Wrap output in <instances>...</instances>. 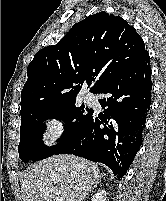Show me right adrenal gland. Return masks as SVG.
Instances as JSON below:
<instances>
[{"label": "right adrenal gland", "mask_w": 166, "mask_h": 201, "mask_svg": "<svg viewBox=\"0 0 166 201\" xmlns=\"http://www.w3.org/2000/svg\"><path fill=\"white\" fill-rule=\"evenodd\" d=\"M103 177V174H101L100 178ZM100 178L95 182V184L92 186V188L88 191V193L86 195H88L90 192H92V190L97 187L98 184H100Z\"/></svg>", "instance_id": "right-adrenal-gland-1"}]
</instances>
